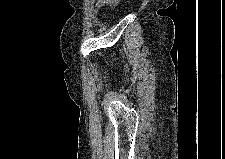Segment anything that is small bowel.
Returning a JSON list of instances; mask_svg holds the SVG:
<instances>
[{
    "label": "small bowel",
    "instance_id": "c3829d8e",
    "mask_svg": "<svg viewBox=\"0 0 225 159\" xmlns=\"http://www.w3.org/2000/svg\"><path fill=\"white\" fill-rule=\"evenodd\" d=\"M103 5H104V1H103V0H98V1L95 2L94 8H95V9H99V8H101Z\"/></svg>",
    "mask_w": 225,
    "mask_h": 159
}]
</instances>
